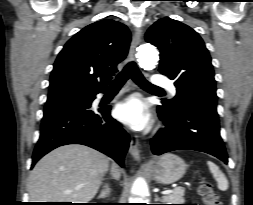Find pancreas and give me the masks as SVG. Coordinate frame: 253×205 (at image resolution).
Listing matches in <instances>:
<instances>
[{
    "mask_svg": "<svg viewBox=\"0 0 253 205\" xmlns=\"http://www.w3.org/2000/svg\"><path fill=\"white\" fill-rule=\"evenodd\" d=\"M185 191L181 188L174 190L173 192L162 197V201L168 204H183Z\"/></svg>",
    "mask_w": 253,
    "mask_h": 205,
    "instance_id": "1",
    "label": "pancreas"
}]
</instances>
